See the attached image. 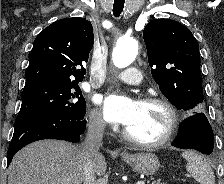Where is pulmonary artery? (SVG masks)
Segmentation results:
<instances>
[{
  "label": "pulmonary artery",
  "mask_w": 224,
  "mask_h": 184,
  "mask_svg": "<svg viewBox=\"0 0 224 184\" xmlns=\"http://www.w3.org/2000/svg\"><path fill=\"white\" fill-rule=\"evenodd\" d=\"M115 77L130 85H138L142 81L141 73L136 68H129L125 71L118 72L115 74Z\"/></svg>",
  "instance_id": "1"
}]
</instances>
